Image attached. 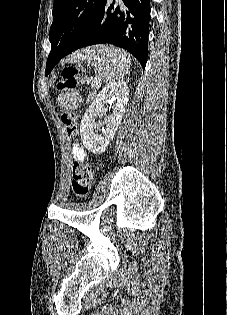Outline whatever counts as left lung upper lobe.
Here are the masks:
<instances>
[{"label": "left lung upper lobe", "mask_w": 227, "mask_h": 315, "mask_svg": "<svg viewBox=\"0 0 227 315\" xmlns=\"http://www.w3.org/2000/svg\"><path fill=\"white\" fill-rule=\"evenodd\" d=\"M104 0H55L51 41H60V48L70 47L94 19Z\"/></svg>", "instance_id": "obj_1"}]
</instances>
